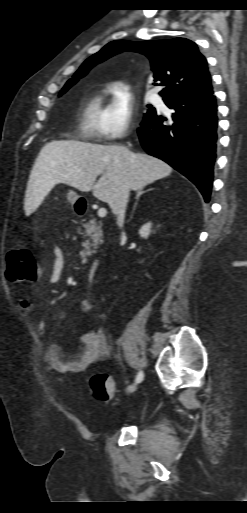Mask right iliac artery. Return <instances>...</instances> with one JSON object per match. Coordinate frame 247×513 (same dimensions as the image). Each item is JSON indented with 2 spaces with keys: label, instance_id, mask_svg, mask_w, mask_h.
Instances as JSON below:
<instances>
[{
  "label": "right iliac artery",
  "instance_id": "82829eb1",
  "mask_svg": "<svg viewBox=\"0 0 247 513\" xmlns=\"http://www.w3.org/2000/svg\"><path fill=\"white\" fill-rule=\"evenodd\" d=\"M143 378H144V374H143V372H142V371H140V372L138 373L137 377H136L135 382H136V383H140V382L143 380Z\"/></svg>",
  "mask_w": 247,
  "mask_h": 513
}]
</instances>
